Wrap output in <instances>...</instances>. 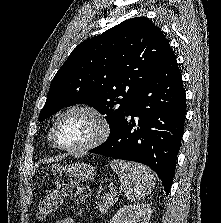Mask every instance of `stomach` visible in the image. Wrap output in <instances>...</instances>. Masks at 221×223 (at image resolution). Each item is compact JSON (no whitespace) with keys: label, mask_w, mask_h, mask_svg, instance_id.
Masks as SVG:
<instances>
[{"label":"stomach","mask_w":221,"mask_h":223,"mask_svg":"<svg viewBox=\"0 0 221 223\" xmlns=\"http://www.w3.org/2000/svg\"><path fill=\"white\" fill-rule=\"evenodd\" d=\"M55 171H57L58 173H65L74 179L82 181L93 180L96 176L95 168L92 165L84 162H78L72 165L70 164L65 166L60 165L57 166V168L55 167Z\"/></svg>","instance_id":"obj_1"}]
</instances>
